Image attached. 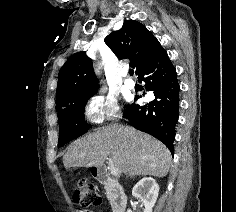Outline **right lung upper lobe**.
I'll return each mask as SVG.
<instances>
[{"mask_svg": "<svg viewBox=\"0 0 236 212\" xmlns=\"http://www.w3.org/2000/svg\"><path fill=\"white\" fill-rule=\"evenodd\" d=\"M104 41L119 59L131 61L130 65L136 69V75L161 46L144 25L134 20H125L122 28L110 33ZM97 83L92 61L85 52L72 55L59 72L57 111L82 96L94 94L98 88Z\"/></svg>", "mask_w": 236, "mask_h": 212, "instance_id": "obj_1", "label": "right lung upper lobe"}]
</instances>
